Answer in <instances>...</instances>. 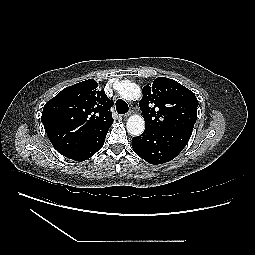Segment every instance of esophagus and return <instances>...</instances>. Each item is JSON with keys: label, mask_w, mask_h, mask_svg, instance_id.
Returning a JSON list of instances; mask_svg holds the SVG:
<instances>
[{"label": "esophagus", "mask_w": 255, "mask_h": 255, "mask_svg": "<svg viewBox=\"0 0 255 255\" xmlns=\"http://www.w3.org/2000/svg\"><path fill=\"white\" fill-rule=\"evenodd\" d=\"M132 112H133V111L130 110L129 112L125 113V114H124V118H127L128 116H130Z\"/></svg>", "instance_id": "esophagus-1"}]
</instances>
